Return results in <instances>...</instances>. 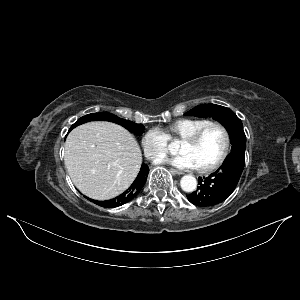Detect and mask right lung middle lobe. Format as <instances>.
Here are the masks:
<instances>
[{"label": "right lung middle lobe", "mask_w": 300, "mask_h": 300, "mask_svg": "<svg viewBox=\"0 0 300 300\" xmlns=\"http://www.w3.org/2000/svg\"><path fill=\"white\" fill-rule=\"evenodd\" d=\"M95 120L110 121V122L117 123V124L123 126L124 128H126L127 130H129L130 132H133L135 134H142L144 131V126L142 124H135L131 121L121 119V118H119L111 113H107V112L91 113V114L85 115V116L81 117L80 119H78L71 126L70 130H72L73 128H75L78 125H81V124L89 122V121H95Z\"/></svg>", "instance_id": "dd1d6c3e"}]
</instances>
